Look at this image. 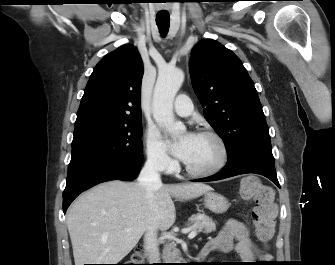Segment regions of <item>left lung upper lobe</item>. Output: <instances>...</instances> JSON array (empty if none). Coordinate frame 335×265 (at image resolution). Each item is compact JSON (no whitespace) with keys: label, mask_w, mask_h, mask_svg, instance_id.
Listing matches in <instances>:
<instances>
[{"label":"left lung upper lobe","mask_w":335,"mask_h":265,"mask_svg":"<svg viewBox=\"0 0 335 265\" xmlns=\"http://www.w3.org/2000/svg\"><path fill=\"white\" fill-rule=\"evenodd\" d=\"M189 70L204 116L224 140L228 163L274 165L271 140L252 79L240 59L212 39L192 51Z\"/></svg>","instance_id":"left-lung-upper-lobe-1"}]
</instances>
